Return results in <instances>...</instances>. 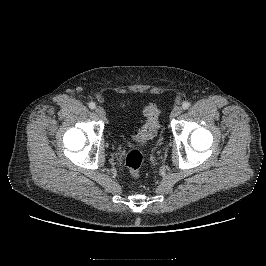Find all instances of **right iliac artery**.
<instances>
[{"mask_svg": "<svg viewBox=\"0 0 266 266\" xmlns=\"http://www.w3.org/2000/svg\"><path fill=\"white\" fill-rule=\"evenodd\" d=\"M89 107H90L91 109H94V108L96 107V105H95L94 102H90V103H89Z\"/></svg>", "mask_w": 266, "mask_h": 266, "instance_id": "1", "label": "right iliac artery"}]
</instances>
